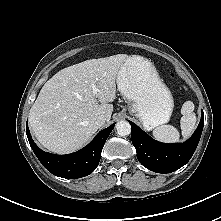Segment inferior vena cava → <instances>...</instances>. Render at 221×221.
Returning a JSON list of instances; mask_svg holds the SVG:
<instances>
[{
    "mask_svg": "<svg viewBox=\"0 0 221 221\" xmlns=\"http://www.w3.org/2000/svg\"><path fill=\"white\" fill-rule=\"evenodd\" d=\"M105 120H106V118H105L104 115H99V116L97 117V123H99V124H104V123H105Z\"/></svg>",
    "mask_w": 221,
    "mask_h": 221,
    "instance_id": "obj_1",
    "label": "inferior vena cava"
}]
</instances>
